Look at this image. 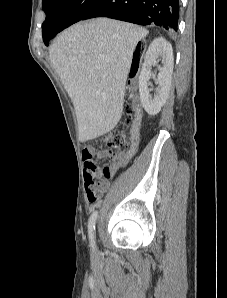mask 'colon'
I'll return each mask as SVG.
<instances>
[{
    "mask_svg": "<svg viewBox=\"0 0 227 298\" xmlns=\"http://www.w3.org/2000/svg\"><path fill=\"white\" fill-rule=\"evenodd\" d=\"M132 74H133V72H132ZM125 109L127 112V118L129 120V119H131L132 114L135 111V105L132 102H127ZM101 143L106 147V150H108L109 152H112V153L124 152L128 147L126 135L120 129H114V130L110 131L109 133H107L105 136H103ZM87 197L90 202L97 201L100 197L98 189L97 188L88 189Z\"/></svg>",
    "mask_w": 227,
    "mask_h": 298,
    "instance_id": "colon-1",
    "label": "colon"
}]
</instances>
